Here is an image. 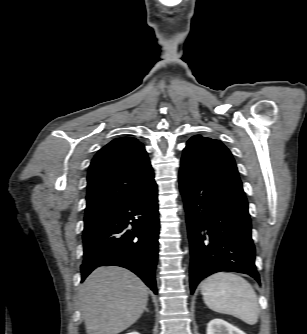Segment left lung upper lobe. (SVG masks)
I'll use <instances>...</instances> for the list:
<instances>
[{
    "label": "left lung upper lobe",
    "mask_w": 307,
    "mask_h": 334,
    "mask_svg": "<svg viewBox=\"0 0 307 334\" xmlns=\"http://www.w3.org/2000/svg\"><path fill=\"white\" fill-rule=\"evenodd\" d=\"M180 171L242 186L231 152L219 140L193 136L183 151Z\"/></svg>",
    "instance_id": "left-lung-upper-lobe-1"
}]
</instances>
